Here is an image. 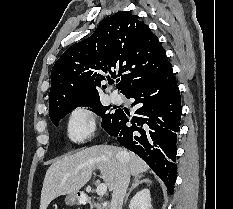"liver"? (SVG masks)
Instances as JSON below:
<instances>
[{
  "label": "liver",
  "mask_w": 233,
  "mask_h": 209,
  "mask_svg": "<svg viewBox=\"0 0 233 209\" xmlns=\"http://www.w3.org/2000/svg\"><path fill=\"white\" fill-rule=\"evenodd\" d=\"M127 164L131 175L137 176L148 170L147 164L132 152L117 146L98 145L65 155L47 170L40 200V209H47L59 196L77 193L91 179L97 168L109 191H112L120 160Z\"/></svg>",
  "instance_id": "1"
}]
</instances>
